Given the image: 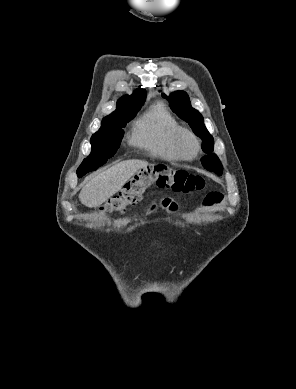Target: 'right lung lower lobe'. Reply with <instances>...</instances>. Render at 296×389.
Listing matches in <instances>:
<instances>
[{
	"instance_id": "obj_1",
	"label": "right lung lower lobe",
	"mask_w": 296,
	"mask_h": 389,
	"mask_svg": "<svg viewBox=\"0 0 296 389\" xmlns=\"http://www.w3.org/2000/svg\"><path fill=\"white\" fill-rule=\"evenodd\" d=\"M98 167H99L98 165H95V166L79 167L78 170H77V175H78V177H82V176L85 175L87 172L96 170Z\"/></svg>"
}]
</instances>
